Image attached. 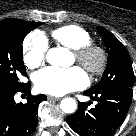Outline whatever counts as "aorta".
Here are the masks:
<instances>
[{
	"label": "aorta",
	"instance_id": "1",
	"mask_svg": "<svg viewBox=\"0 0 136 136\" xmlns=\"http://www.w3.org/2000/svg\"><path fill=\"white\" fill-rule=\"evenodd\" d=\"M69 57V52L62 48H51L46 53L47 62L55 66L70 65L67 60ZM60 108L65 113H73L77 108V103L73 98H64L60 103Z\"/></svg>",
	"mask_w": 136,
	"mask_h": 136
}]
</instances>
